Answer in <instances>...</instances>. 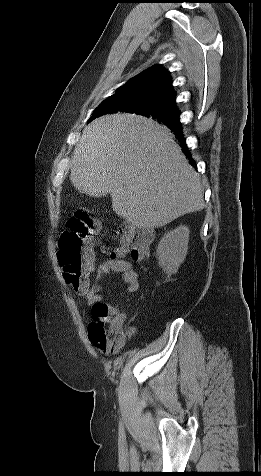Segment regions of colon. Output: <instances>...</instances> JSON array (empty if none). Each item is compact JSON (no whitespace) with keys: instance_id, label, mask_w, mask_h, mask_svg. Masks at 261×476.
<instances>
[{"instance_id":"colon-1","label":"colon","mask_w":261,"mask_h":476,"mask_svg":"<svg viewBox=\"0 0 261 476\" xmlns=\"http://www.w3.org/2000/svg\"><path fill=\"white\" fill-rule=\"evenodd\" d=\"M99 233L98 222L85 211H77L67 222V229L59 239L58 258L63 267L65 281L75 290L85 289L92 269L91 243ZM119 248L112 257L130 255L132 260L143 259L151 235L146 229L123 225L117 229ZM93 320L89 325V338L103 352L118 350L125 342V333L108 327L109 307L105 303L92 309Z\"/></svg>"}]
</instances>
